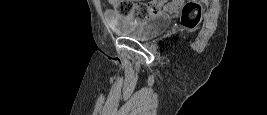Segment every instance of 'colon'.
<instances>
[{"label":"colon","instance_id":"obj_1","mask_svg":"<svg viewBox=\"0 0 267 115\" xmlns=\"http://www.w3.org/2000/svg\"><path fill=\"white\" fill-rule=\"evenodd\" d=\"M117 2L118 12L128 18L141 20L149 15L161 12L157 4L134 3L131 0H119ZM201 16V8L196 3H186L181 9V24L186 27L198 24Z\"/></svg>","mask_w":267,"mask_h":115}]
</instances>
